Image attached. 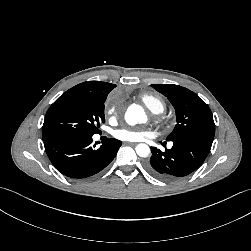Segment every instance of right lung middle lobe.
<instances>
[{
	"label": "right lung middle lobe",
	"mask_w": 251,
	"mask_h": 251,
	"mask_svg": "<svg viewBox=\"0 0 251 251\" xmlns=\"http://www.w3.org/2000/svg\"><path fill=\"white\" fill-rule=\"evenodd\" d=\"M106 96L68 90L48 109L42 128L43 140L57 136H90L105 122Z\"/></svg>",
	"instance_id": "obj_1"
}]
</instances>
